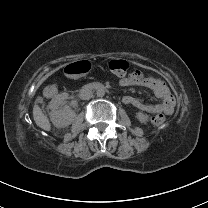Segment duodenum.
Instances as JSON below:
<instances>
[{
	"instance_id": "obj_1",
	"label": "duodenum",
	"mask_w": 208,
	"mask_h": 208,
	"mask_svg": "<svg viewBox=\"0 0 208 208\" xmlns=\"http://www.w3.org/2000/svg\"><path fill=\"white\" fill-rule=\"evenodd\" d=\"M86 90H104V86L100 83H90L85 86Z\"/></svg>"
}]
</instances>
